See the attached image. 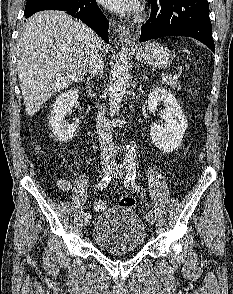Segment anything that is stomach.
<instances>
[{
  "mask_svg": "<svg viewBox=\"0 0 233 294\" xmlns=\"http://www.w3.org/2000/svg\"><path fill=\"white\" fill-rule=\"evenodd\" d=\"M136 58L157 69H166L173 61L171 51L157 42H147L140 46L136 51Z\"/></svg>",
  "mask_w": 233,
  "mask_h": 294,
  "instance_id": "1",
  "label": "stomach"
}]
</instances>
